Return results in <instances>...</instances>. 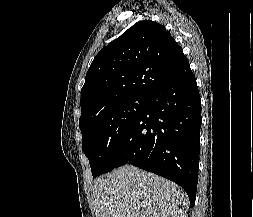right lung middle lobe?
Returning a JSON list of instances; mask_svg holds the SVG:
<instances>
[{
  "instance_id": "1",
  "label": "right lung middle lobe",
  "mask_w": 253,
  "mask_h": 217,
  "mask_svg": "<svg viewBox=\"0 0 253 217\" xmlns=\"http://www.w3.org/2000/svg\"><path fill=\"white\" fill-rule=\"evenodd\" d=\"M146 97H135L106 107L80 125L82 148L93 178L108 172L110 161L143 111Z\"/></svg>"
}]
</instances>
